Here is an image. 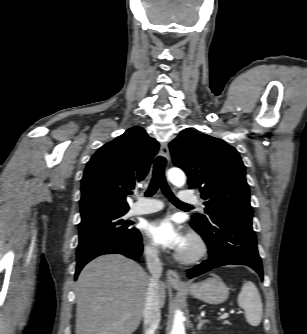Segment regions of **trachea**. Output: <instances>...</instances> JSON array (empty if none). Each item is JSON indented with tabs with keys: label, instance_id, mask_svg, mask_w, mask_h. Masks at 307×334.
Instances as JSON below:
<instances>
[{
	"label": "trachea",
	"instance_id": "trachea-1",
	"mask_svg": "<svg viewBox=\"0 0 307 334\" xmlns=\"http://www.w3.org/2000/svg\"><path fill=\"white\" fill-rule=\"evenodd\" d=\"M165 166H166V159L162 156H158L154 161L153 166V175L152 179L149 185L148 190L146 191L145 195L147 197H151L156 193L158 188H160L163 192V194L174 204L177 205H183L187 207H192L189 204L183 203L180 200H178L170 190L169 186L167 185L166 179H165Z\"/></svg>",
	"mask_w": 307,
	"mask_h": 334
}]
</instances>
